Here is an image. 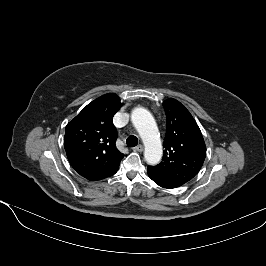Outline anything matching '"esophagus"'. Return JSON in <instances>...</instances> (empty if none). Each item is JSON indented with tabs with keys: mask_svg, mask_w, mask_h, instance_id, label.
<instances>
[{
	"mask_svg": "<svg viewBox=\"0 0 266 266\" xmlns=\"http://www.w3.org/2000/svg\"><path fill=\"white\" fill-rule=\"evenodd\" d=\"M143 145H141V144H139V145H137L135 148H134V151H136V152H142L143 151Z\"/></svg>",
	"mask_w": 266,
	"mask_h": 266,
	"instance_id": "esophagus-1",
	"label": "esophagus"
}]
</instances>
